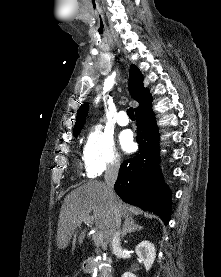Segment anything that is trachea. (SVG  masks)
Listing matches in <instances>:
<instances>
[{"instance_id": "trachea-1", "label": "trachea", "mask_w": 221, "mask_h": 277, "mask_svg": "<svg viewBox=\"0 0 221 277\" xmlns=\"http://www.w3.org/2000/svg\"><path fill=\"white\" fill-rule=\"evenodd\" d=\"M127 115L129 116L130 119H135V115H134V109L132 107H130L127 110Z\"/></svg>"}]
</instances>
